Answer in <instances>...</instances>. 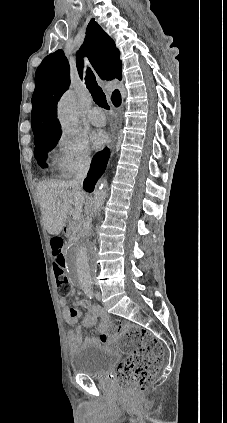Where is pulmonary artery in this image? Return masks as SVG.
Here are the masks:
<instances>
[{
  "instance_id": "obj_1",
  "label": "pulmonary artery",
  "mask_w": 227,
  "mask_h": 423,
  "mask_svg": "<svg viewBox=\"0 0 227 423\" xmlns=\"http://www.w3.org/2000/svg\"><path fill=\"white\" fill-rule=\"evenodd\" d=\"M87 120L95 127H103L106 125L105 113L98 107H94L88 111Z\"/></svg>"
}]
</instances>
